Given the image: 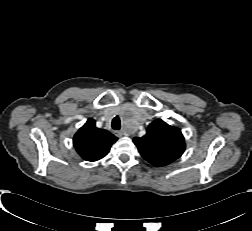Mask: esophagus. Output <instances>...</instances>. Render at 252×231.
<instances>
[{
    "instance_id": "esophagus-1",
    "label": "esophagus",
    "mask_w": 252,
    "mask_h": 231,
    "mask_svg": "<svg viewBox=\"0 0 252 231\" xmlns=\"http://www.w3.org/2000/svg\"><path fill=\"white\" fill-rule=\"evenodd\" d=\"M115 135H116L117 137H122L123 135H125V132H124V131H116V132H115Z\"/></svg>"
}]
</instances>
